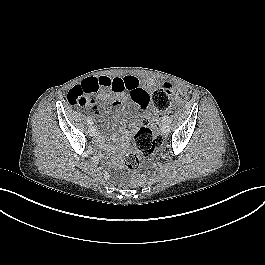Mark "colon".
I'll list each match as a JSON object with an SVG mask.
<instances>
[{
	"label": "colon",
	"mask_w": 265,
	"mask_h": 265,
	"mask_svg": "<svg viewBox=\"0 0 265 265\" xmlns=\"http://www.w3.org/2000/svg\"><path fill=\"white\" fill-rule=\"evenodd\" d=\"M88 92H95L97 85L93 81H87ZM152 103L157 111L167 110L173 100L182 102L186 94L181 90H175L171 85L164 84L152 93ZM67 101L73 107L83 106L86 102V94L80 90V85L72 88L67 94ZM157 124L155 116L146 121V125L139 129L134 137V144L137 152L126 154L124 164L128 173L129 183L133 185L142 184L146 176L141 171L140 154L149 155L154 153L161 144L160 136L151 128Z\"/></svg>",
	"instance_id": "colon-1"
}]
</instances>
